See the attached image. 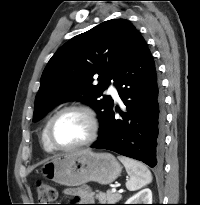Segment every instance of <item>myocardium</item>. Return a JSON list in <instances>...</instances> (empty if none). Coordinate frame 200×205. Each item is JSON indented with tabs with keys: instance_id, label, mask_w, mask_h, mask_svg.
Instances as JSON below:
<instances>
[{
	"instance_id": "1",
	"label": "myocardium",
	"mask_w": 200,
	"mask_h": 205,
	"mask_svg": "<svg viewBox=\"0 0 200 205\" xmlns=\"http://www.w3.org/2000/svg\"><path fill=\"white\" fill-rule=\"evenodd\" d=\"M69 111H77V112H81L85 115V117L87 118V121L89 123V133L87 135V137L74 144V145H70V146H61L58 145L52 136V128L53 125L55 123V121L64 113L69 112ZM99 131H100V122H99V118L98 115L96 113V111L89 105L86 104H70L67 105L63 108H61L60 110H58L49 120L48 125H47V139L48 142L50 143V145L52 146L53 149L55 150H60V151H72V150H76L85 146H88L90 144H92L99 135Z\"/></svg>"
}]
</instances>
